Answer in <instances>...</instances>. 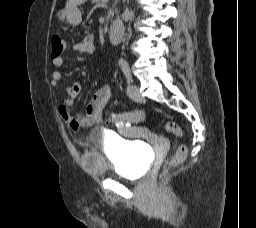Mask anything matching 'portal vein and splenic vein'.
I'll return each instance as SVG.
<instances>
[{"instance_id":"1","label":"portal vein and splenic vein","mask_w":256,"mask_h":228,"mask_svg":"<svg viewBox=\"0 0 256 228\" xmlns=\"http://www.w3.org/2000/svg\"><path fill=\"white\" fill-rule=\"evenodd\" d=\"M103 2H108V0H103Z\"/></svg>"}]
</instances>
